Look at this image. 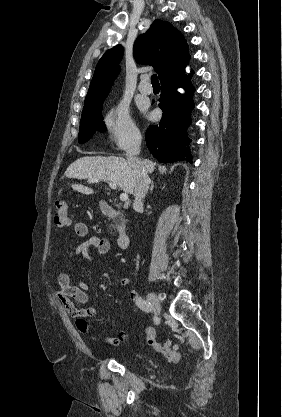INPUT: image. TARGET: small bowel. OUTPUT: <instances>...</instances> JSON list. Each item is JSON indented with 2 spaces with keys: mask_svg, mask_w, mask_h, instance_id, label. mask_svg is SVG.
<instances>
[{
  "mask_svg": "<svg viewBox=\"0 0 282 417\" xmlns=\"http://www.w3.org/2000/svg\"><path fill=\"white\" fill-rule=\"evenodd\" d=\"M74 233L84 240L77 246L75 255L83 257L88 261H93L97 257L105 256L110 251V242L108 239L99 236L88 235V226L81 221H77L73 225ZM95 250V254H91V250ZM58 290L56 296L63 305L67 313L75 318L76 329L82 334H88L90 331L87 318L98 316V311L92 306H86L88 301L87 284L83 281L79 282L77 286L70 284L69 276L62 273L58 277ZM121 286L129 290V298L132 303L133 311H136L135 301L137 293L131 288V281L129 278L121 280ZM127 331H119L116 336H106L105 342L112 346H118L128 339Z\"/></svg>",
  "mask_w": 282,
  "mask_h": 417,
  "instance_id": "small-bowel-1",
  "label": "small bowel"
}]
</instances>
